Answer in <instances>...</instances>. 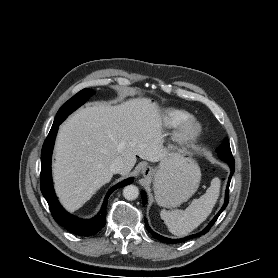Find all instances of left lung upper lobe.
I'll return each mask as SVG.
<instances>
[{"mask_svg": "<svg viewBox=\"0 0 278 278\" xmlns=\"http://www.w3.org/2000/svg\"><path fill=\"white\" fill-rule=\"evenodd\" d=\"M220 158L225 162H234V158L231 153L230 145L228 139L225 138L219 148L216 149Z\"/></svg>", "mask_w": 278, "mask_h": 278, "instance_id": "5c2ea615", "label": "left lung upper lobe"}]
</instances>
